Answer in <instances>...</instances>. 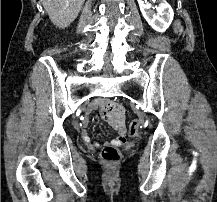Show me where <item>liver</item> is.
<instances>
[{
    "label": "liver",
    "mask_w": 217,
    "mask_h": 202,
    "mask_svg": "<svg viewBox=\"0 0 217 202\" xmlns=\"http://www.w3.org/2000/svg\"><path fill=\"white\" fill-rule=\"evenodd\" d=\"M51 22L57 28H67L77 18L85 0H40Z\"/></svg>",
    "instance_id": "obj_1"
}]
</instances>
